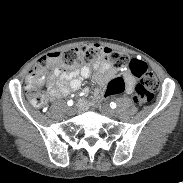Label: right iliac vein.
<instances>
[{"mask_svg": "<svg viewBox=\"0 0 183 183\" xmlns=\"http://www.w3.org/2000/svg\"><path fill=\"white\" fill-rule=\"evenodd\" d=\"M69 112H70V113L74 112V108L70 107V108H69Z\"/></svg>", "mask_w": 183, "mask_h": 183, "instance_id": "obj_1", "label": "right iliac vein"}]
</instances>
